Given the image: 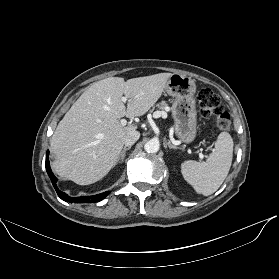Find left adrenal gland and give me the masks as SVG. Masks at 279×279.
<instances>
[{"mask_svg":"<svg viewBox=\"0 0 279 279\" xmlns=\"http://www.w3.org/2000/svg\"><path fill=\"white\" fill-rule=\"evenodd\" d=\"M167 145H168V147H169L170 149H181V148H179V147H177V146L171 144L170 141L167 142Z\"/></svg>","mask_w":279,"mask_h":279,"instance_id":"obj_1","label":"left adrenal gland"}]
</instances>
